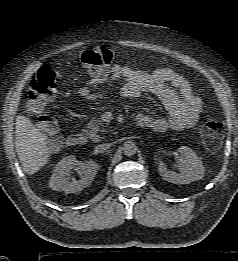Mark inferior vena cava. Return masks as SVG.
Here are the masks:
<instances>
[{
  "mask_svg": "<svg viewBox=\"0 0 238 261\" xmlns=\"http://www.w3.org/2000/svg\"><path fill=\"white\" fill-rule=\"evenodd\" d=\"M110 148L109 144H100L98 146H96L95 151L97 153H102L105 152L106 150H108Z\"/></svg>",
  "mask_w": 238,
  "mask_h": 261,
  "instance_id": "obj_1",
  "label": "inferior vena cava"
}]
</instances>
